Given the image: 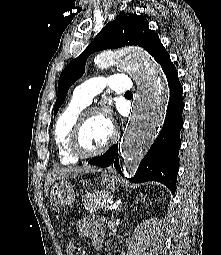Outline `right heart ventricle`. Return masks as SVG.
<instances>
[{"mask_svg":"<svg viewBox=\"0 0 221 255\" xmlns=\"http://www.w3.org/2000/svg\"><path fill=\"white\" fill-rule=\"evenodd\" d=\"M85 106L71 101L58 115L53 139L60 162L64 165L76 164L79 160L70 150V135Z\"/></svg>","mask_w":221,"mask_h":255,"instance_id":"obj_1","label":"right heart ventricle"}]
</instances>
